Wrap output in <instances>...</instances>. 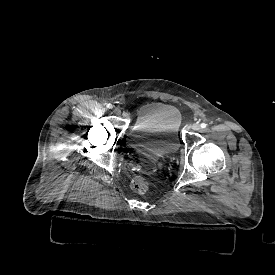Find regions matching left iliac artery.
I'll list each match as a JSON object with an SVG mask.
<instances>
[{"label": "left iliac artery", "instance_id": "left-iliac-artery-1", "mask_svg": "<svg viewBox=\"0 0 275 275\" xmlns=\"http://www.w3.org/2000/svg\"><path fill=\"white\" fill-rule=\"evenodd\" d=\"M206 126H207V124H205V123H201V124H200V127H201V128H206Z\"/></svg>", "mask_w": 275, "mask_h": 275}]
</instances>
